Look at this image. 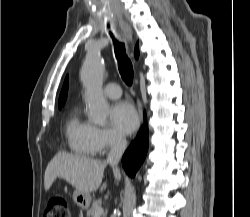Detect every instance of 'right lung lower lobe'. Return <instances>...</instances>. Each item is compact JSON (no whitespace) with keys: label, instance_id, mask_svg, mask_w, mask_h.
<instances>
[{"label":"right lung lower lobe","instance_id":"right-lung-lower-lobe-1","mask_svg":"<svg viewBox=\"0 0 250 217\" xmlns=\"http://www.w3.org/2000/svg\"><path fill=\"white\" fill-rule=\"evenodd\" d=\"M148 149V125L145 122L141 127L136 139L130 144L123 155L122 164L131 177H134L137 170L143 163Z\"/></svg>","mask_w":250,"mask_h":217}]
</instances>
